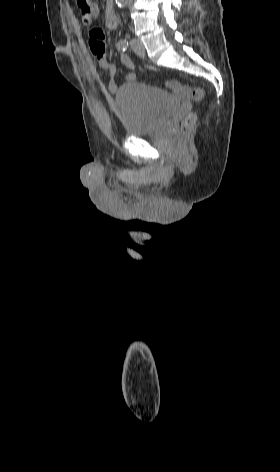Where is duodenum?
<instances>
[{
  "label": "duodenum",
  "instance_id": "1",
  "mask_svg": "<svg viewBox=\"0 0 280 472\" xmlns=\"http://www.w3.org/2000/svg\"><path fill=\"white\" fill-rule=\"evenodd\" d=\"M106 26L111 30L118 27V18L111 8L106 11Z\"/></svg>",
  "mask_w": 280,
  "mask_h": 472
}]
</instances>
